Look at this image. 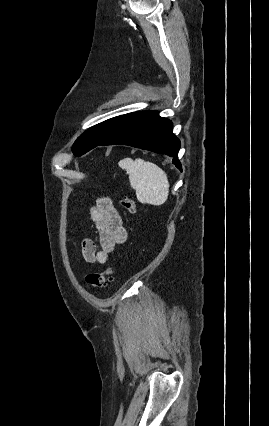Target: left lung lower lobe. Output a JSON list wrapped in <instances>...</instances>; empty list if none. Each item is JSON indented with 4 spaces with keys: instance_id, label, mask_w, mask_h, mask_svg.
I'll return each instance as SVG.
<instances>
[{
    "instance_id": "obj_1",
    "label": "left lung lower lobe",
    "mask_w": 269,
    "mask_h": 426,
    "mask_svg": "<svg viewBox=\"0 0 269 426\" xmlns=\"http://www.w3.org/2000/svg\"><path fill=\"white\" fill-rule=\"evenodd\" d=\"M129 145L173 157V164L182 170L178 160L179 139L172 133V122L154 111L121 115L98 146Z\"/></svg>"
}]
</instances>
